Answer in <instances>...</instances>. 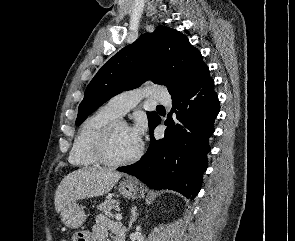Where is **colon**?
Listing matches in <instances>:
<instances>
[{
	"instance_id": "5ec220e1",
	"label": "colon",
	"mask_w": 295,
	"mask_h": 241,
	"mask_svg": "<svg viewBox=\"0 0 295 241\" xmlns=\"http://www.w3.org/2000/svg\"><path fill=\"white\" fill-rule=\"evenodd\" d=\"M73 241H86V236L83 234V232H79L74 235Z\"/></svg>"
}]
</instances>
